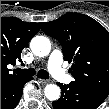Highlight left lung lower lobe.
<instances>
[{
	"mask_svg": "<svg viewBox=\"0 0 109 109\" xmlns=\"http://www.w3.org/2000/svg\"><path fill=\"white\" fill-rule=\"evenodd\" d=\"M58 85L62 94L59 100L52 102L54 109H96L109 94L74 81L69 85L61 83H58Z\"/></svg>",
	"mask_w": 109,
	"mask_h": 109,
	"instance_id": "obj_1",
	"label": "left lung lower lobe"
}]
</instances>
